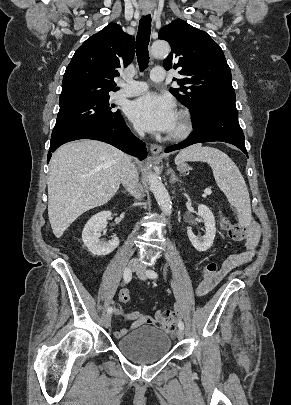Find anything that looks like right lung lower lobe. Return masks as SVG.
Segmentation results:
<instances>
[{"label": "right lung lower lobe", "mask_w": 291, "mask_h": 405, "mask_svg": "<svg viewBox=\"0 0 291 405\" xmlns=\"http://www.w3.org/2000/svg\"><path fill=\"white\" fill-rule=\"evenodd\" d=\"M78 139H93L111 144L118 149L143 160L147 151L145 143L136 138L126 126L122 117L106 126H82L51 137L47 156L49 162L52 152L64 143Z\"/></svg>", "instance_id": "1"}]
</instances>
